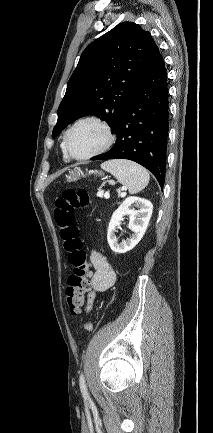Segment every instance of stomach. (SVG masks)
I'll use <instances>...</instances> for the list:
<instances>
[{
	"label": "stomach",
	"instance_id": "0dacf381",
	"mask_svg": "<svg viewBox=\"0 0 213 433\" xmlns=\"http://www.w3.org/2000/svg\"><path fill=\"white\" fill-rule=\"evenodd\" d=\"M95 173H98L99 175H102V173L98 172V171H95ZM79 176H80V172L74 171L70 175L67 176V179H68L69 182L76 181L79 178Z\"/></svg>",
	"mask_w": 213,
	"mask_h": 433
}]
</instances>
